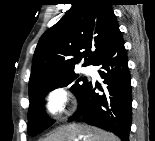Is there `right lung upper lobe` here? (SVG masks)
<instances>
[{
    "label": "right lung upper lobe",
    "mask_w": 155,
    "mask_h": 141,
    "mask_svg": "<svg viewBox=\"0 0 155 141\" xmlns=\"http://www.w3.org/2000/svg\"><path fill=\"white\" fill-rule=\"evenodd\" d=\"M108 0H77L70 10L41 36L33 57L29 88L42 80L93 65L120 32Z\"/></svg>",
    "instance_id": "obj_1"
}]
</instances>
